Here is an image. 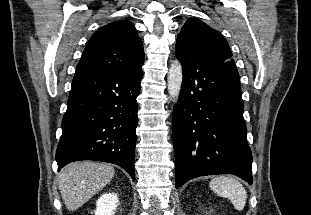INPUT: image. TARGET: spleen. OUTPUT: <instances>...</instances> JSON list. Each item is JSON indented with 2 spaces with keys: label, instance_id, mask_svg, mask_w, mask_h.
<instances>
[{
  "label": "spleen",
  "instance_id": "obj_1",
  "mask_svg": "<svg viewBox=\"0 0 311 215\" xmlns=\"http://www.w3.org/2000/svg\"><path fill=\"white\" fill-rule=\"evenodd\" d=\"M210 188L219 196L228 198L235 209L243 210L247 200V192L244 186L235 178L218 176L209 183Z\"/></svg>",
  "mask_w": 311,
  "mask_h": 215
}]
</instances>
